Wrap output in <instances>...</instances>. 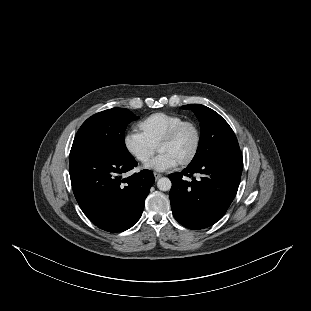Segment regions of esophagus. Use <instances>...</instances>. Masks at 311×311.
<instances>
[{
    "instance_id": "esophagus-1",
    "label": "esophagus",
    "mask_w": 311,
    "mask_h": 311,
    "mask_svg": "<svg viewBox=\"0 0 311 311\" xmlns=\"http://www.w3.org/2000/svg\"><path fill=\"white\" fill-rule=\"evenodd\" d=\"M154 177H155V180H158L159 178L162 177V174H160L158 172H154Z\"/></svg>"
}]
</instances>
